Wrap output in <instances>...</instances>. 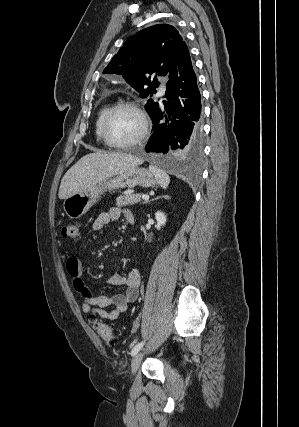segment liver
I'll return each instance as SVG.
<instances>
[{"label":"liver","mask_w":299,"mask_h":427,"mask_svg":"<svg viewBox=\"0 0 299 427\" xmlns=\"http://www.w3.org/2000/svg\"><path fill=\"white\" fill-rule=\"evenodd\" d=\"M142 163L143 159L130 154L103 151L89 153L65 173L58 197L66 199Z\"/></svg>","instance_id":"liver-1"}]
</instances>
